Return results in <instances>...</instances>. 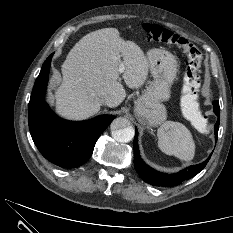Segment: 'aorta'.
I'll use <instances>...</instances> for the list:
<instances>
[{"label": "aorta", "instance_id": "762f6f07", "mask_svg": "<svg viewBox=\"0 0 233 233\" xmlns=\"http://www.w3.org/2000/svg\"><path fill=\"white\" fill-rule=\"evenodd\" d=\"M112 137L121 143L130 142L135 134L134 128L130 126L129 120L119 117L111 123Z\"/></svg>", "mask_w": 233, "mask_h": 233}]
</instances>
